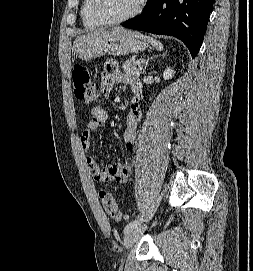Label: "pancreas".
Listing matches in <instances>:
<instances>
[{"mask_svg": "<svg viewBox=\"0 0 253 271\" xmlns=\"http://www.w3.org/2000/svg\"><path fill=\"white\" fill-rule=\"evenodd\" d=\"M135 57H131L122 65L123 71L127 74L139 77L142 73V67L136 64Z\"/></svg>", "mask_w": 253, "mask_h": 271, "instance_id": "1", "label": "pancreas"}]
</instances>
